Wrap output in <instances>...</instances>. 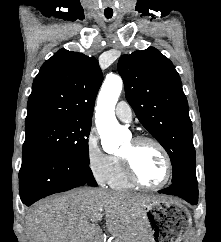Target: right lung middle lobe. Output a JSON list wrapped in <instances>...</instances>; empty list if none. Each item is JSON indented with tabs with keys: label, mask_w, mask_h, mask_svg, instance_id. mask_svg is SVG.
Masks as SVG:
<instances>
[{
	"label": "right lung middle lobe",
	"mask_w": 221,
	"mask_h": 242,
	"mask_svg": "<svg viewBox=\"0 0 221 242\" xmlns=\"http://www.w3.org/2000/svg\"><path fill=\"white\" fill-rule=\"evenodd\" d=\"M92 120L64 119L26 126L23 152L46 150L89 164L88 137Z\"/></svg>",
	"instance_id": "1"
}]
</instances>
